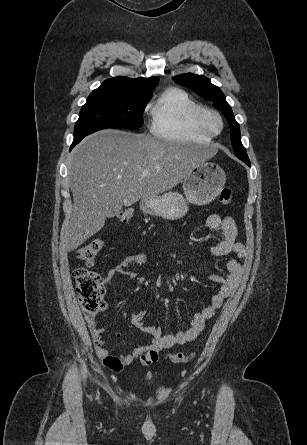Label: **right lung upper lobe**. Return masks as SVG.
I'll use <instances>...</instances> for the list:
<instances>
[{
	"instance_id": "1",
	"label": "right lung upper lobe",
	"mask_w": 307,
	"mask_h": 445,
	"mask_svg": "<svg viewBox=\"0 0 307 445\" xmlns=\"http://www.w3.org/2000/svg\"><path fill=\"white\" fill-rule=\"evenodd\" d=\"M159 79L137 78L131 79L127 77H114L105 80L102 85L95 89L90 96L93 95H113L118 97H134V98H151L152 91L157 86Z\"/></svg>"
}]
</instances>
